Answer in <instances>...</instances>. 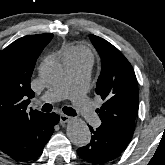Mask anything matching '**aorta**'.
<instances>
[{
    "label": "aorta",
    "mask_w": 165,
    "mask_h": 165,
    "mask_svg": "<svg viewBox=\"0 0 165 165\" xmlns=\"http://www.w3.org/2000/svg\"><path fill=\"white\" fill-rule=\"evenodd\" d=\"M39 75L44 81L55 83L61 79L63 67L55 60H47L40 65ZM67 136L69 140L78 147L87 145L91 139V133L87 124L77 118L68 123Z\"/></svg>",
    "instance_id": "obj_1"
}]
</instances>
